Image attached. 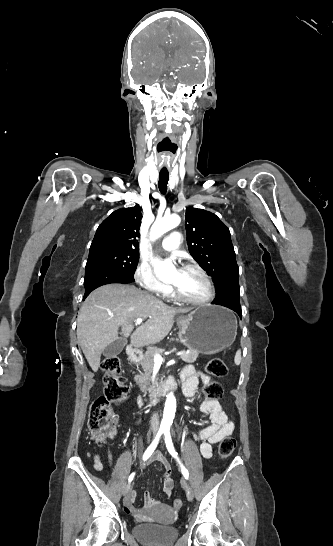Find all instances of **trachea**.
I'll return each mask as SVG.
<instances>
[{
	"mask_svg": "<svg viewBox=\"0 0 333 546\" xmlns=\"http://www.w3.org/2000/svg\"><path fill=\"white\" fill-rule=\"evenodd\" d=\"M169 180V174L168 173H160L159 174V182L158 187L162 194H165L167 191V184Z\"/></svg>",
	"mask_w": 333,
	"mask_h": 546,
	"instance_id": "3493384b",
	"label": "trachea"
}]
</instances>
